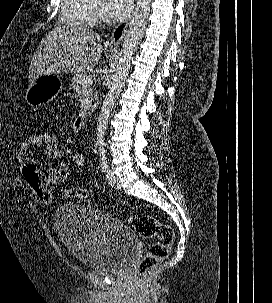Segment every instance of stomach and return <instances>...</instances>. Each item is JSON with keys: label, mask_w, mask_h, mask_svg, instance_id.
I'll list each match as a JSON object with an SVG mask.
<instances>
[{"label": "stomach", "mask_w": 272, "mask_h": 303, "mask_svg": "<svg viewBox=\"0 0 272 303\" xmlns=\"http://www.w3.org/2000/svg\"><path fill=\"white\" fill-rule=\"evenodd\" d=\"M61 90L58 77L43 75L30 82L25 93V101L31 107H42L57 97Z\"/></svg>", "instance_id": "1"}]
</instances>
